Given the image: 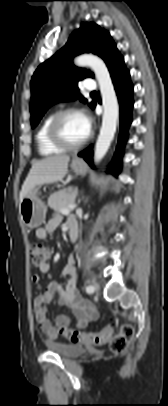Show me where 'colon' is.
<instances>
[{
	"instance_id": "colon-1",
	"label": "colon",
	"mask_w": 168,
	"mask_h": 406,
	"mask_svg": "<svg viewBox=\"0 0 168 406\" xmlns=\"http://www.w3.org/2000/svg\"><path fill=\"white\" fill-rule=\"evenodd\" d=\"M49 255V249L39 243H33L30 247L31 261L36 267L45 265ZM58 329L60 333L72 343L102 345L110 340V349L113 353H121L125 351L130 340L134 336V328L129 324L123 325L118 333L113 336L109 326L101 332H84L64 325L59 326Z\"/></svg>"
}]
</instances>
